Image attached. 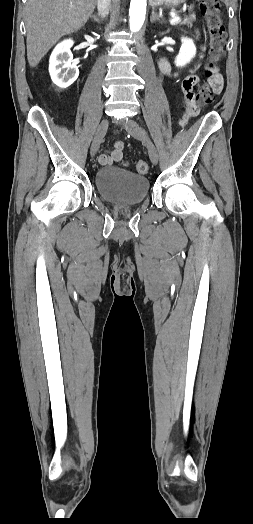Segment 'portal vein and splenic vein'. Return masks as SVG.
I'll return each mask as SVG.
<instances>
[{
  "label": "portal vein and splenic vein",
  "instance_id": "obj_1",
  "mask_svg": "<svg viewBox=\"0 0 253 524\" xmlns=\"http://www.w3.org/2000/svg\"><path fill=\"white\" fill-rule=\"evenodd\" d=\"M180 20H181L180 16H173V17L170 19V24H171V25H174V24L180 22Z\"/></svg>",
  "mask_w": 253,
  "mask_h": 524
}]
</instances>
